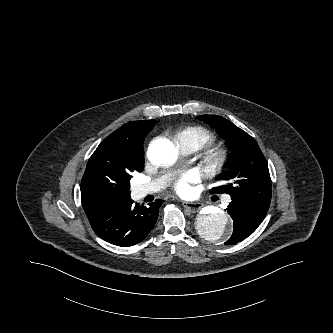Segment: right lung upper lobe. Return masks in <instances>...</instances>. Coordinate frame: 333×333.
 Masks as SVG:
<instances>
[{
    "instance_id": "cb5924a9",
    "label": "right lung upper lobe",
    "mask_w": 333,
    "mask_h": 333,
    "mask_svg": "<svg viewBox=\"0 0 333 333\" xmlns=\"http://www.w3.org/2000/svg\"><path fill=\"white\" fill-rule=\"evenodd\" d=\"M146 121L124 124L104 139L90 157L81 180V202L88 219L128 198L108 190L103 182L110 181L114 173L143 162Z\"/></svg>"
}]
</instances>
